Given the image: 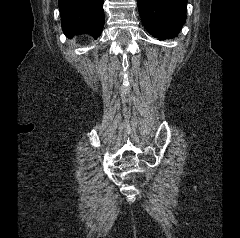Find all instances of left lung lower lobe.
<instances>
[{
  "label": "left lung lower lobe",
  "instance_id": "0a47b994",
  "mask_svg": "<svg viewBox=\"0 0 240 238\" xmlns=\"http://www.w3.org/2000/svg\"><path fill=\"white\" fill-rule=\"evenodd\" d=\"M188 0H138V9L147 31L158 39L178 35L186 20Z\"/></svg>",
  "mask_w": 240,
  "mask_h": 238
}]
</instances>
